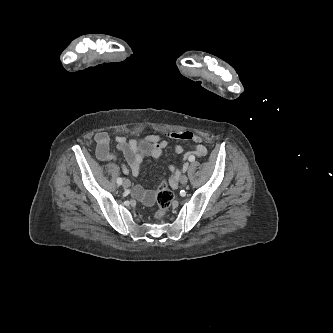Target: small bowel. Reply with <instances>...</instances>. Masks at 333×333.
Masks as SVG:
<instances>
[{
	"instance_id": "1",
	"label": "small bowel",
	"mask_w": 333,
	"mask_h": 333,
	"mask_svg": "<svg viewBox=\"0 0 333 333\" xmlns=\"http://www.w3.org/2000/svg\"><path fill=\"white\" fill-rule=\"evenodd\" d=\"M168 137L183 141H192L194 143V148L191 151L185 153L184 161L180 167L173 165L169 166V169L172 172V176L169 179V184L172 188H176L178 185L179 175L183 169L188 167V162L193 161L196 157L205 156L207 150L201 143L200 138L189 131L176 132L170 135L154 134L149 136L150 141H152L154 144V150L152 153L154 157L161 156L163 151L169 147V142L167 141ZM94 142L96 145V156L99 160H117L116 153L110 149V138L106 132L102 131L96 133L94 136ZM116 143L117 148L124 154L129 166L127 167L125 164H122L123 173L137 176L140 172L141 163L144 157L137 141L135 139H127L124 136H117ZM173 150L178 154L184 152L183 148L179 145L173 146ZM132 194L136 199L144 202L147 205H151L153 203L154 193L152 191H147L142 187L137 186L133 189Z\"/></svg>"
}]
</instances>
